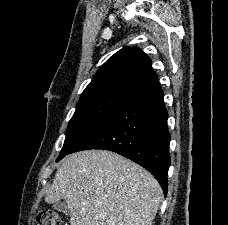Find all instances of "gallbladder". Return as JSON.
<instances>
[{
	"mask_svg": "<svg viewBox=\"0 0 228 225\" xmlns=\"http://www.w3.org/2000/svg\"><path fill=\"white\" fill-rule=\"evenodd\" d=\"M53 209L60 211V213H65V215H68L69 213L66 203H60V201H58V203H53Z\"/></svg>",
	"mask_w": 228,
	"mask_h": 225,
	"instance_id": "bac80fb5",
	"label": "gallbladder"
}]
</instances>
